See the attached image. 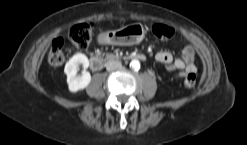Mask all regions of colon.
<instances>
[{"mask_svg": "<svg viewBox=\"0 0 247 145\" xmlns=\"http://www.w3.org/2000/svg\"><path fill=\"white\" fill-rule=\"evenodd\" d=\"M152 30L156 37L164 41L171 39L174 35V28L167 24H157ZM92 31L93 28L90 23H81L70 30L68 43L64 38H55L48 53L49 63L54 66L62 65L65 62L67 52L72 49L86 48L91 40ZM195 84V73H186L184 75V85L187 88H192Z\"/></svg>", "mask_w": 247, "mask_h": 145, "instance_id": "obj_1", "label": "colon"}]
</instances>
